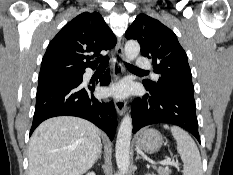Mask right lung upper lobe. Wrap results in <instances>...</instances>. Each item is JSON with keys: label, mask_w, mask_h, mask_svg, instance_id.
<instances>
[{"label": "right lung upper lobe", "mask_w": 233, "mask_h": 175, "mask_svg": "<svg viewBox=\"0 0 233 175\" xmlns=\"http://www.w3.org/2000/svg\"><path fill=\"white\" fill-rule=\"evenodd\" d=\"M116 37L97 12H84L67 23L49 43L42 59L39 78L82 74L86 67L96 68L88 55L116 45ZM87 60L84 62V60Z\"/></svg>", "instance_id": "1"}]
</instances>
